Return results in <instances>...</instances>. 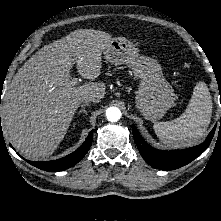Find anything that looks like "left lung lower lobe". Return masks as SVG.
Returning <instances> with one entry per match:
<instances>
[{
	"label": "left lung lower lobe",
	"instance_id": "0a47b994",
	"mask_svg": "<svg viewBox=\"0 0 221 221\" xmlns=\"http://www.w3.org/2000/svg\"><path fill=\"white\" fill-rule=\"evenodd\" d=\"M215 128L210 132L206 140L195 147H191L184 150H158L147 144L139 134L135 126H132L134 141L141 153L143 159L152 167L162 170H173L180 168L195 158L200 156L209 146ZM221 128V118H220Z\"/></svg>",
	"mask_w": 221,
	"mask_h": 221
}]
</instances>
